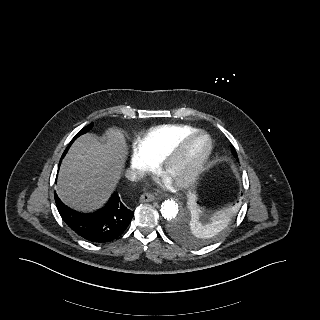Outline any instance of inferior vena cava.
<instances>
[{
	"label": "inferior vena cava",
	"instance_id": "obj_1",
	"mask_svg": "<svg viewBox=\"0 0 320 320\" xmlns=\"http://www.w3.org/2000/svg\"><path fill=\"white\" fill-rule=\"evenodd\" d=\"M144 177V172L140 170H127L126 178L130 181L141 180Z\"/></svg>",
	"mask_w": 320,
	"mask_h": 320
}]
</instances>
